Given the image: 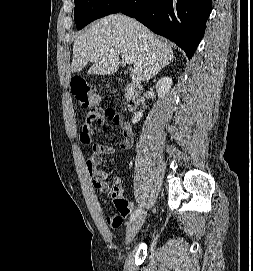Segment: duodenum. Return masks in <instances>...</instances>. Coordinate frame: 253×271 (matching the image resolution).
Returning a JSON list of instances; mask_svg holds the SVG:
<instances>
[{
    "instance_id": "obj_1",
    "label": "duodenum",
    "mask_w": 253,
    "mask_h": 271,
    "mask_svg": "<svg viewBox=\"0 0 253 271\" xmlns=\"http://www.w3.org/2000/svg\"><path fill=\"white\" fill-rule=\"evenodd\" d=\"M142 92V84L139 81H133L129 83L125 89V97L127 109L129 111L135 110L140 102V96Z\"/></svg>"
}]
</instances>
